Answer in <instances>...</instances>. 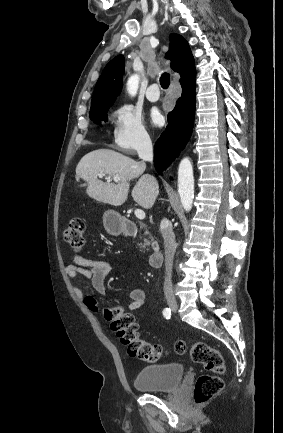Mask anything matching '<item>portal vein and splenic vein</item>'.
<instances>
[{
	"label": "portal vein and splenic vein",
	"instance_id": "1",
	"mask_svg": "<svg viewBox=\"0 0 283 433\" xmlns=\"http://www.w3.org/2000/svg\"><path fill=\"white\" fill-rule=\"evenodd\" d=\"M98 176L99 178H103L105 174H103V172H99ZM112 178L115 180V182H117V180H121L120 176H112ZM112 178L109 176L108 180H112ZM134 214H136L137 219H145L146 217L144 210H140V208H136V210H134Z\"/></svg>",
	"mask_w": 283,
	"mask_h": 433
}]
</instances>
